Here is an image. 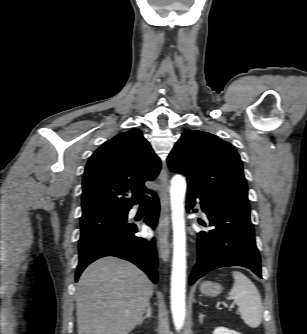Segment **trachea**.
Masks as SVG:
<instances>
[{"label": "trachea", "instance_id": "obj_1", "mask_svg": "<svg viewBox=\"0 0 307 334\" xmlns=\"http://www.w3.org/2000/svg\"><path fill=\"white\" fill-rule=\"evenodd\" d=\"M149 199H150V198L146 196V197H144V199H143L142 202H143V203H148V202H149Z\"/></svg>", "mask_w": 307, "mask_h": 334}]
</instances>
